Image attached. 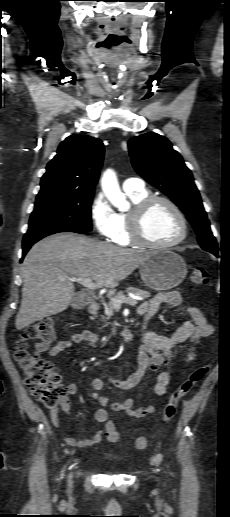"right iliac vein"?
<instances>
[{
	"mask_svg": "<svg viewBox=\"0 0 230 517\" xmlns=\"http://www.w3.org/2000/svg\"><path fill=\"white\" fill-rule=\"evenodd\" d=\"M71 485V480H69V486Z\"/></svg>",
	"mask_w": 230,
	"mask_h": 517,
	"instance_id": "63e3f726",
	"label": "right iliac vein"
}]
</instances>
